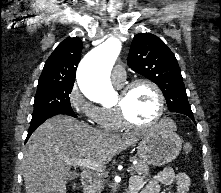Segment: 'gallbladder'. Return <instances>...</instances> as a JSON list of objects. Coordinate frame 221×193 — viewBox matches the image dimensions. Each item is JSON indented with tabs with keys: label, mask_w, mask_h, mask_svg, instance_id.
<instances>
[{
	"label": "gallbladder",
	"mask_w": 221,
	"mask_h": 193,
	"mask_svg": "<svg viewBox=\"0 0 221 193\" xmlns=\"http://www.w3.org/2000/svg\"><path fill=\"white\" fill-rule=\"evenodd\" d=\"M76 176H77L76 174L72 173V174H70L69 179H73V178H75Z\"/></svg>",
	"instance_id": "obj_1"
}]
</instances>
